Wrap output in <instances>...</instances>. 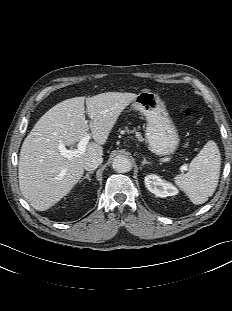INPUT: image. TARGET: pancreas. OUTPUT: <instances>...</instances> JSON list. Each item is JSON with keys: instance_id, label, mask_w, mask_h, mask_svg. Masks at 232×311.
Returning a JSON list of instances; mask_svg holds the SVG:
<instances>
[{"instance_id": "cf45deb5", "label": "pancreas", "mask_w": 232, "mask_h": 311, "mask_svg": "<svg viewBox=\"0 0 232 311\" xmlns=\"http://www.w3.org/2000/svg\"><path fill=\"white\" fill-rule=\"evenodd\" d=\"M125 131H126L127 133H130V132H131L130 130H128V128H127V127L125 128ZM136 137H137V139H138L139 141H141V140H142V136H141V134H140V133H137Z\"/></svg>"}]
</instances>
